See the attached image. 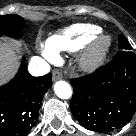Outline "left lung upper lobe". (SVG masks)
Returning a JSON list of instances; mask_svg holds the SVG:
<instances>
[{"label": "left lung upper lobe", "mask_w": 136, "mask_h": 136, "mask_svg": "<svg viewBox=\"0 0 136 136\" xmlns=\"http://www.w3.org/2000/svg\"><path fill=\"white\" fill-rule=\"evenodd\" d=\"M119 49L126 50V51H131V49H132L128 40L122 35H120V37H119Z\"/></svg>", "instance_id": "1"}]
</instances>
